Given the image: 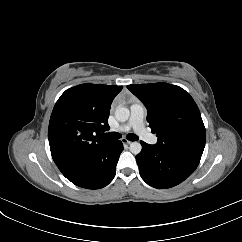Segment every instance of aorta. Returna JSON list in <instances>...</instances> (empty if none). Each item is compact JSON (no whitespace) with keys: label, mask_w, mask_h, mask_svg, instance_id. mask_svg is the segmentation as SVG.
<instances>
[{"label":"aorta","mask_w":242,"mask_h":242,"mask_svg":"<svg viewBox=\"0 0 242 242\" xmlns=\"http://www.w3.org/2000/svg\"><path fill=\"white\" fill-rule=\"evenodd\" d=\"M115 116L116 118L121 121V122H125L129 119V116H130V111L128 108L126 107H117L116 110H115ZM130 151L131 153L137 155L141 152L142 150V146L139 142H132L130 144Z\"/></svg>","instance_id":"obj_1"}]
</instances>
